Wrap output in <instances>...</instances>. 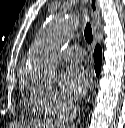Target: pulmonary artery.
<instances>
[{
  "instance_id": "pulmonary-artery-1",
  "label": "pulmonary artery",
  "mask_w": 125,
  "mask_h": 128,
  "mask_svg": "<svg viewBox=\"0 0 125 128\" xmlns=\"http://www.w3.org/2000/svg\"><path fill=\"white\" fill-rule=\"evenodd\" d=\"M62 57L67 61H81L84 52L80 46H71L62 52Z\"/></svg>"
}]
</instances>
